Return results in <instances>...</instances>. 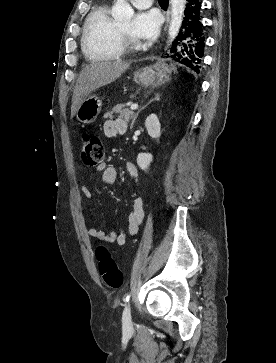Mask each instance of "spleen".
Returning <instances> with one entry per match:
<instances>
[{"instance_id":"spleen-1","label":"spleen","mask_w":276,"mask_h":363,"mask_svg":"<svg viewBox=\"0 0 276 363\" xmlns=\"http://www.w3.org/2000/svg\"><path fill=\"white\" fill-rule=\"evenodd\" d=\"M172 70H173L174 72H176V69H175V67H174V66H172Z\"/></svg>"}]
</instances>
